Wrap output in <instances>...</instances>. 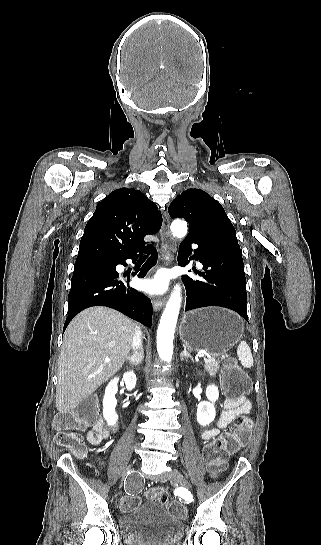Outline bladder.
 <instances>
[{"mask_svg":"<svg viewBox=\"0 0 321 545\" xmlns=\"http://www.w3.org/2000/svg\"><path fill=\"white\" fill-rule=\"evenodd\" d=\"M119 529L129 545H174L183 534L182 522L156 501L121 513Z\"/></svg>","mask_w":321,"mask_h":545,"instance_id":"1","label":"bladder"}]
</instances>
